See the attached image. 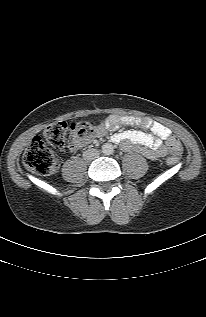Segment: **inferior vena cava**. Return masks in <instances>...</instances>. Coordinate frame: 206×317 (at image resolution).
<instances>
[{"label":"inferior vena cava","instance_id":"602c4592","mask_svg":"<svg viewBox=\"0 0 206 317\" xmlns=\"http://www.w3.org/2000/svg\"><path fill=\"white\" fill-rule=\"evenodd\" d=\"M99 151L97 149H88L83 152L84 160L91 161L96 159L99 156Z\"/></svg>","mask_w":206,"mask_h":317}]
</instances>
